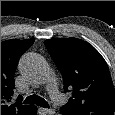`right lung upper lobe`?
Wrapping results in <instances>:
<instances>
[{
  "mask_svg": "<svg viewBox=\"0 0 115 115\" xmlns=\"http://www.w3.org/2000/svg\"><path fill=\"white\" fill-rule=\"evenodd\" d=\"M34 40H7L1 42V115H31L35 106L10 104L14 89V73L20 56Z\"/></svg>",
  "mask_w": 115,
  "mask_h": 115,
  "instance_id": "cb5924a9",
  "label": "right lung upper lobe"
}]
</instances>
